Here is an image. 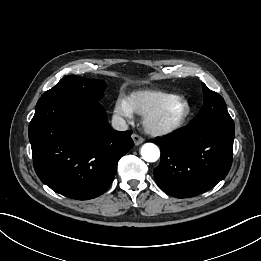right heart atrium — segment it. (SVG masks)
Segmentation results:
<instances>
[{"label": "right heart atrium", "instance_id": "1", "mask_svg": "<svg viewBox=\"0 0 261 261\" xmlns=\"http://www.w3.org/2000/svg\"><path fill=\"white\" fill-rule=\"evenodd\" d=\"M115 115L122 120H129L133 116V110L129 104V101L124 96H118L114 105Z\"/></svg>", "mask_w": 261, "mask_h": 261}]
</instances>
